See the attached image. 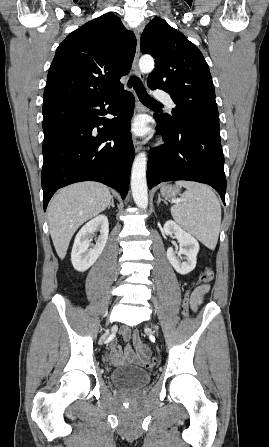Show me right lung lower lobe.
Instances as JSON below:
<instances>
[{
	"label": "right lung lower lobe",
	"instance_id": "1",
	"mask_svg": "<svg viewBox=\"0 0 269 447\" xmlns=\"http://www.w3.org/2000/svg\"><path fill=\"white\" fill-rule=\"evenodd\" d=\"M122 91L123 86L107 93L44 103V209L59 188L80 181L104 183L118 190L122 199L126 197L134 158L130 120L135 100L124 92V100L115 107ZM105 105L116 118L103 117Z\"/></svg>",
	"mask_w": 269,
	"mask_h": 447
}]
</instances>
